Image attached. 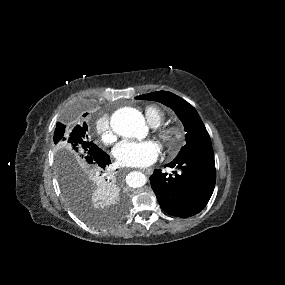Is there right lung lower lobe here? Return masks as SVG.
<instances>
[{"mask_svg":"<svg viewBox=\"0 0 285 285\" xmlns=\"http://www.w3.org/2000/svg\"><path fill=\"white\" fill-rule=\"evenodd\" d=\"M98 166L101 168L102 171H105V169L111 164L110 157L107 153H103L97 160ZM105 182H107L103 187L110 191L111 193L115 191L114 181L113 178H107L104 175Z\"/></svg>","mask_w":285,"mask_h":285,"instance_id":"right-lung-lower-lobe-1","label":"right lung lower lobe"}]
</instances>
